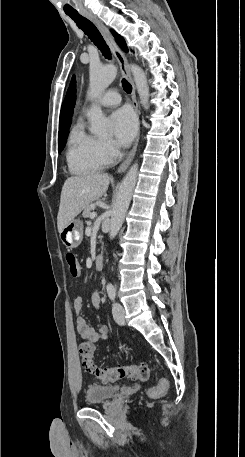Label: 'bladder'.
Instances as JSON below:
<instances>
[{
	"instance_id": "31cf9c89",
	"label": "bladder",
	"mask_w": 245,
	"mask_h": 457,
	"mask_svg": "<svg viewBox=\"0 0 245 457\" xmlns=\"http://www.w3.org/2000/svg\"><path fill=\"white\" fill-rule=\"evenodd\" d=\"M117 390L118 387L116 386L89 385L86 393V404L93 405L109 401Z\"/></svg>"
}]
</instances>
